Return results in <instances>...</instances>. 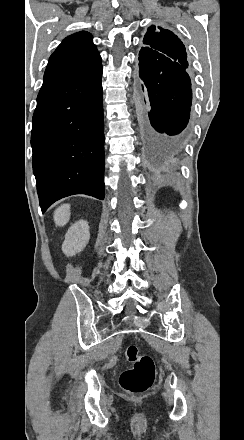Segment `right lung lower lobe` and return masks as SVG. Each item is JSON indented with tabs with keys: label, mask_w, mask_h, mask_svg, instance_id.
<instances>
[{
	"label": "right lung lower lobe",
	"mask_w": 244,
	"mask_h": 440,
	"mask_svg": "<svg viewBox=\"0 0 244 440\" xmlns=\"http://www.w3.org/2000/svg\"><path fill=\"white\" fill-rule=\"evenodd\" d=\"M101 62L44 76L33 115V173L42 212L73 194L104 199Z\"/></svg>",
	"instance_id": "right-lung-lower-lobe-1"
}]
</instances>
